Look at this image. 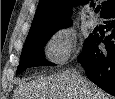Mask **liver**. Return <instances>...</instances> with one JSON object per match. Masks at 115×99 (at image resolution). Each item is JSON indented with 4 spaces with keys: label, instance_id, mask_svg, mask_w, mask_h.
<instances>
[{
    "label": "liver",
    "instance_id": "obj_1",
    "mask_svg": "<svg viewBox=\"0 0 115 99\" xmlns=\"http://www.w3.org/2000/svg\"><path fill=\"white\" fill-rule=\"evenodd\" d=\"M109 97L88 79L83 78L81 82L77 73L60 72L20 83L13 99H110Z\"/></svg>",
    "mask_w": 115,
    "mask_h": 99
}]
</instances>
